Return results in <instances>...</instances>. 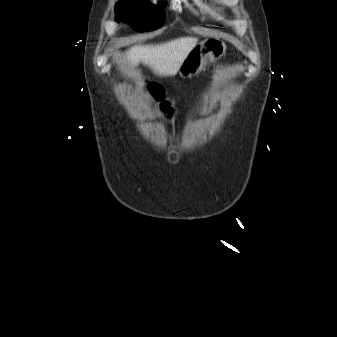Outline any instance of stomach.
<instances>
[{"mask_svg":"<svg viewBox=\"0 0 337 337\" xmlns=\"http://www.w3.org/2000/svg\"><path fill=\"white\" fill-rule=\"evenodd\" d=\"M226 49L225 43L218 39L201 41L196 44L181 64L179 75L183 78L197 75L212 61L225 55Z\"/></svg>","mask_w":337,"mask_h":337,"instance_id":"obj_1","label":"stomach"}]
</instances>
